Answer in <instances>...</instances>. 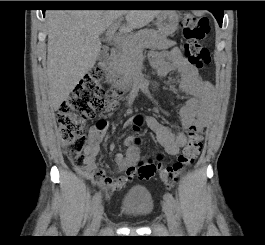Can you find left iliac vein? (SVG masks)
I'll return each mask as SVG.
<instances>
[{"mask_svg": "<svg viewBox=\"0 0 265 245\" xmlns=\"http://www.w3.org/2000/svg\"><path fill=\"white\" fill-rule=\"evenodd\" d=\"M163 210H164L165 215H166L169 231L172 234L176 233L177 232V222H176V218H175L174 212L172 210V207L170 206L169 203L164 202L163 203Z\"/></svg>", "mask_w": 265, "mask_h": 245, "instance_id": "1", "label": "left iliac vein"}]
</instances>
